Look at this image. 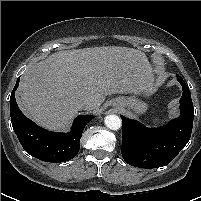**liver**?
<instances>
[{
	"label": "liver",
	"instance_id": "liver-1",
	"mask_svg": "<svg viewBox=\"0 0 201 201\" xmlns=\"http://www.w3.org/2000/svg\"><path fill=\"white\" fill-rule=\"evenodd\" d=\"M153 77L148 58L134 48L59 51L27 69L17 101L40 126L61 130L76 116L79 101L89 100L98 108L107 95L143 91Z\"/></svg>",
	"mask_w": 201,
	"mask_h": 201
}]
</instances>
